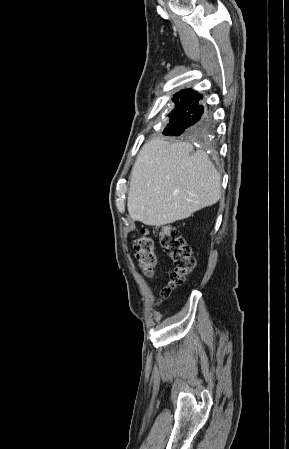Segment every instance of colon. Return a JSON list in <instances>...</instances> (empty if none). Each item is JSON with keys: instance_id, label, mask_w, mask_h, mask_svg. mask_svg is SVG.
Masks as SVG:
<instances>
[{"instance_id": "1", "label": "colon", "mask_w": 289, "mask_h": 449, "mask_svg": "<svg viewBox=\"0 0 289 449\" xmlns=\"http://www.w3.org/2000/svg\"><path fill=\"white\" fill-rule=\"evenodd\" d=\"M156 236L161 248L171 259L173 266L169 284L161 291L162 298H166L175 287L185 282L195 266V259L177 227L173 225L160 226L156 228ZM134 248L141 270L146 276H152L157 264V254L154 240L147 231L142 230L136 236Z\"/></svg>"}]
</instances>
